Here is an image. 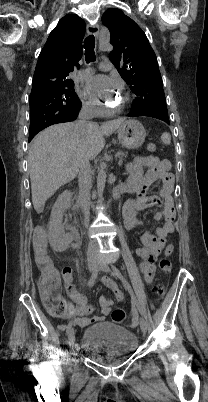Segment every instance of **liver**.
<instances>
[{
	"instance_id": "obj_1",
	"label": "liver",
	"mask_w": 208,
	"mask_h": 402,
	"mask_svg": "<svg viewBox=\"0 0 208 402\" xmlns=\"http://www.w3.org/2000/svg\"><path fill=\"white\" fill-rule=\"evenodd\" d=\"M124 120H110L103 126L92 124L80 130L77 124H56L34 138L29 150L28 168L34 210L40 214L48 198L70 180L76 178L78 156L86 152L94 160L102 152L103 136H110Z\"/></svg>"
}]
</instances>
